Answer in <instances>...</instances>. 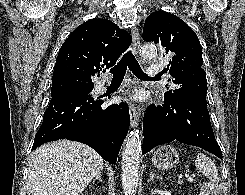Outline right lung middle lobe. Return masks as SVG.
I'll return each mask as SVG.
<instances>
[{"mask_svg":"<svg viewBox=\"0 0 245 195\" xmlns=\"http://www.w3.org/2000/svg\"><path fill=\"white\" fill-rule=\"evenodd\" d=\"M85 89H74V90H69V91H65V92H61L55 95H51L52 98L57 97V96H61V95H73V94H79L82 91H84Z\"/></svg>","mask_w":245,"mask_h":195,"instance_id":"dd1d6c3e","label":"right lung middle lobe"}]
</instances>
